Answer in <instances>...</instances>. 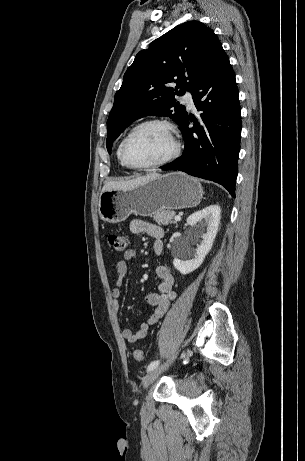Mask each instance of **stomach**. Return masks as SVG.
I'll return each instance as SVG.
<instances>
[{"label": "stomach", "instance_id": "1", "mask_svg": "<svg viewBox=\"0 0 305 461\" xmlns=\"http://www.w3.org/2000/svg\"><path fill=\"white\" fill-rule=\"evenodd\" d=\"M203 196L201 184L182 172H170L134 188L101 193L98 211L109 223H119L131 214L152 216L163 210L197 206Z\"/></svg>", "mask_w": 305, "mask_h": 461}]
</instances>
